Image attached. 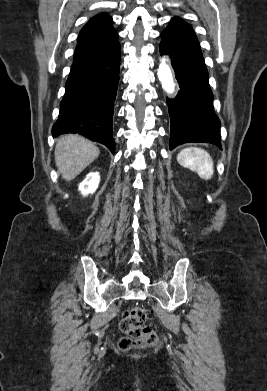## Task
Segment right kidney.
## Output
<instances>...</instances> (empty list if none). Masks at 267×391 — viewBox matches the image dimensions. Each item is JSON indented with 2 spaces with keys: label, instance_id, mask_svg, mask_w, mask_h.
<instances>
[{
  "label": "right kidney",
  "instance_id": "ca27d5eb",
  "mask_svg": "<svg viewBox=\"0 0 267 391\" xmlns=\"http://www.w3.org/2000/svg\"><path fill=\"white\" fill-rule=\"evenodd\" d=\"M100 182V175L98 172H90L86 178L79 185V191L82 195L86 196L92 194L98 188Z\"/></svg>",
  "mask_w": 267,
  "mask_h": 391
}]
</instances>
